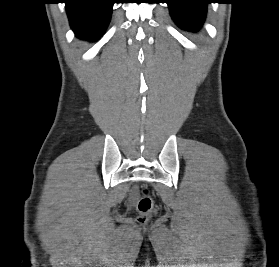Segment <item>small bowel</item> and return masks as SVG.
<instances>
[{"label": "small bowel", "mask_w": 279, "mask_h": 267, "mask_svg": "<svg viewBox=\"0 0 279 267\" xmlns=\"http://www.w3.org/2000/svg\"><path fill=\"white\" fill-rule=\"evenodd\" d=\"M136 197H137L136 193H133V194L131 195V199H132L133 201L136 199Z\"/></svg>", "instance_id": "small-bowel-1"}]
</instances>
